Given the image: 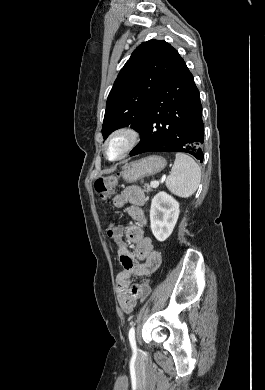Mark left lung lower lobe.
Wrapping results in <instances>:
<instances>
[{"label": "left lung lower lobe", "instance_id": "0a47b994", "mask_svg": "<svg viewBox=\"0 0 265 390\" xmlns=\"http://www.w3.org/2000/svg\"><path fill=\"white\" fill-rule=\"evenodd\" d=\"M204 125L199 91L182 58L153 98L130 155L145 152H183L203 161Z\"/></svg>", "mask_w": 265, "mask_h": 390}]
</instances>
